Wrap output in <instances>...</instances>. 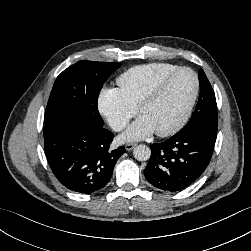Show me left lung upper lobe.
<instances>
[{
	"label": "left lung upper lobe",
	"mask_w": 251,
	"mask_h": 251,
	"mask_svg": "<svg viewBox=\"0 0 251 251\" xmlns=\"http://www.w3.org/2000/svg\"><path fill=\"white\" fill-rule=\"evenodd\" d=\"M200 96L189 122L179 131L185 132L198 126L217 129V104L214 91L204 71L199 70Z\"/></svg>",
	"instance_id": "left-lung-upper-lobe-1"
}]
</instances>
